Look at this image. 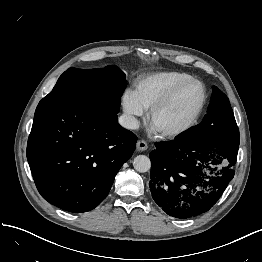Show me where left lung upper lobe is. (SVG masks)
<instances>
[{
	"label": "left lung upper lobe",
	"mask_w": 262,
	"mask_h": 262,
	"mask_svg": "<svg viewBox=\"0 0 262 262\" xmlns=\"http://www.w3.org/2000/svg\"><path fill=\"white\" fill-rule=\"evenodd\" d=\"M224 133L239 134L230 102L226 95L216 86L203 121L181 133L178 137L207 141Z\"/></svg>",
	"instance_id": "left-lung-upper-lobe-1"
}]
</instances>
